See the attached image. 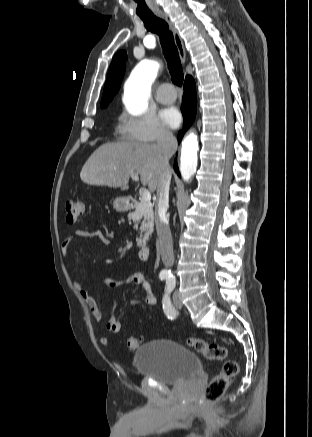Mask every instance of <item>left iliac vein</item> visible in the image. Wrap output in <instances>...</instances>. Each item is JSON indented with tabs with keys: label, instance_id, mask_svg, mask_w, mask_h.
Segmentation results:
<instances>
[{
	"label": "left iliac vein",
	"instance_id": "1",
	"mask_svg": "<svg viewBox=\"0 0 312 437\" xmlns=\"http://www.w3.org/2000/svg\"><path fill=\"white\" fill-rule=\"evenodd\" d=\"M173 303H174L176 308H178V309L182 308V303L179 299V294L177 291H175L173 294Z\"/></svg>",
	"mask_w": 312,
	"mask_h": 437
}]
</instances>
